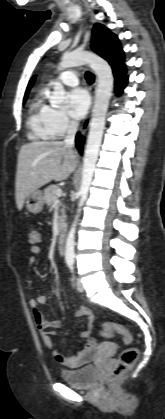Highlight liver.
Instances as JSON below:
<instances>
[{
	"instance_id": "1",
	"label": "liver",
	"mask_w": 165,
	"mask_h": 419,
	"mask_svg": "<svg viewBox=\"0 0 165 419\" xmlns=\"http://www.w3.org/2000/svg\"><path fill=\"white\" fill-rule=\"evenodd\" d=\"M77 166L74 151L61 141H36L25 144L18 154L16 204L23 208L28 195L45 184L67 179Z\"/></svg>"
}]
</instances>
